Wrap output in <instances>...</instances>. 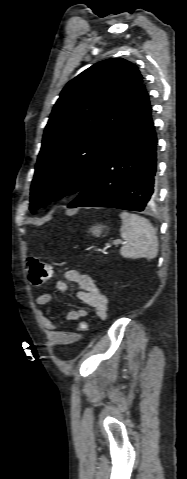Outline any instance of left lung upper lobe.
Here are the masks:
<instances>
[{
	"label": "left lung upper lobe",
	"instance_id": "left-lung-upper-lobe-1",
	"mask_svg": "<svg viewBox=\"0 0 187 479\" xmlns=\"http://www.w3.org/2000/svg\"><path fill=\"white\" fill-rule=\"evenodd\" d=\"M142 83L137 66L111 58L64 87L45 127L30 210L83 188L119 137Z\"/></svg>",
	"mask_w": 187,
	"mask_h": 479
}]
</instances>
